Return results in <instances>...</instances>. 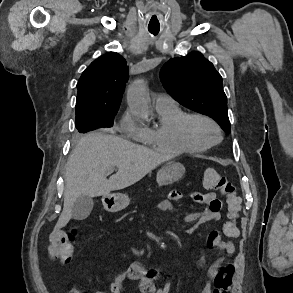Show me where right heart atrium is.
<instances>
[{"mask_svg":"<svg viewBox=\"0 0 293 293\" xmlns=\"http://www.w3.org/2000/svg\"><path fill=\"white\" fill-rule=\"evenodd\" d=\"M119 128L134 139L144 138V127L139 123L134 113L127 109L119 120Z\"/></svg>","mask_w":293,"mask_h":293,"instance_id":"1","label":"right heart atrium"}]
</instances>
